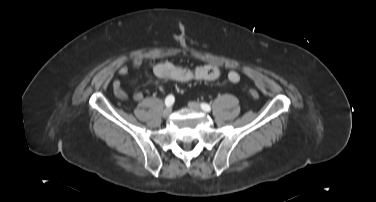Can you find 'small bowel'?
<instances>
[{"label":"small bowel","mask_w":376,"mask_h":202,"mask_svg":"<svg viewBox=\"0 0 376 202\" xmlns=\"http://www.w3.org/2000/svg\"><path fill=\"white\" fill-rule=\"evenodd\" d=\"M145 64H149L154 76L162 80H172L177 82H190L193 80L215 81L221 76L220 65L215 63L188 66L171 61L147 62L145 58L140 56H136L132 60L134 68H140ZM128 72L129 68L127 65H122L118 69V74L120 76H126ZM228 81L231 85H237L240 81V75L232 71L228 75ZM112 91L115 97L119 100L126 101L128 99V94L123 89L122 82L119 79L113 80ZM143 97L144 95L141 91H137L133 94V99L135 101H141Z\"/></svg>","instance_id":"small-bowel-1"}]
</instances>
